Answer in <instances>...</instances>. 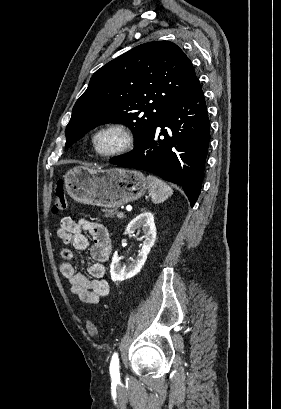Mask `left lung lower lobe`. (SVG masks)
<instances>
[{
	"label": "left lung lower lobe",
	"instance_id": "0a47b994",
	"mask_svg": "<svg viewBox=\"0 0 281 409\" xmlns=\"http://www.w3.org/2000/svg\"><path fill=\"white\" fill-rule=\"evenodd\" d=\"M210 141L204 93L196 77L135 149L110 162L142 169L182 186L190 205L200 194Z\"/></svg>",
	"mask_w": 281,
	"mask_h": 409
}]
</instances>
